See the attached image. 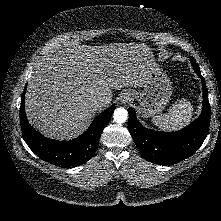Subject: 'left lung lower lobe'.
I'll use <instances>...</instances> for the list:
<instances>
[{
	"instance_id": "1",
	"label": "left lung lower lobe",
	"mask_w": 221,
	"mask_h": 221,
	"mask_svg": "<svg viewBox=\"0 0 221 221\" xmlns=\"http://www.w3.org/2000/svg\"><path fill=\"white\" fill-rule=\"evenodd\" d=\"M195 72L202 79L203 110L199 118L188 127L175 132L154 131L143 127L137 120L135 111L128 109L130 134L146 160L159 165H172L191 156L204 142L210 123V104L200 69Z\"/></svg>"
}]
</instances>
